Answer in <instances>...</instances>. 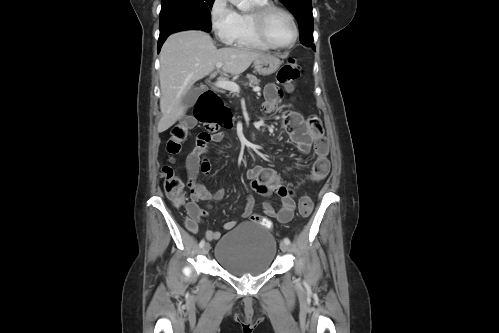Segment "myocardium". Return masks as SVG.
I'll return each instance as SVG.
<instances>
[{
  "label": "myocardium",
  "instance_id": "f54148a6",
  "mask_svg": "<svg viewBox=\"0 0 499 333\" xmlns=\"http://www.w3.org/2000/svg\"><path fill=\"white\" fill-rule=\"evenodd\" d=\"M274 11H280L284 13L289 18L292 24L293 38L288 44L285 45L275 44L271 41V39L267 34L266 31L267 18ZM251 19L257 35L270 48L279 49V50L291 48L292 46H294L299 37V29L294 15L288 9L280 5L268 3L264 6L255 7V9L251 12Z\"/></svg>",
  "mask_w": 499,
  "mask_h": 333
}]
</instances>
